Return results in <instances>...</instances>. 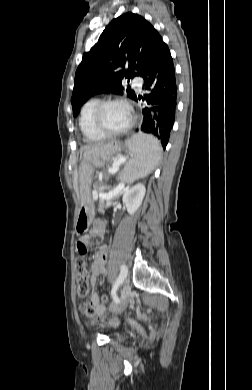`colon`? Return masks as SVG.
<instances>
[{
  "label": "colon",
  "mask_w": 252,
  "mask_h": 390,
  "mask_svg": "<svg viewBox=\"0 0 252 390\" xmlns=\"http://www.w3.org/2000/svg\"><path fill=\"white\" fill-rule=\"evenodd\" d=\"M86 226H82L80 229L81 232H84ZM83 248L86 249V246L83 245ZM80 256L76 259L75 269H76V281H77V294L79 297H85L89 291V275L87 264L84 259L85 254H79ZM102 301L105 303L108 301L106 295L102 296ZM81 311L87 315H93L95 312L94 306L90 302H83L81 305Z\"/></svg>",
  "instance_id": "colon-1"
}]
</instances>
